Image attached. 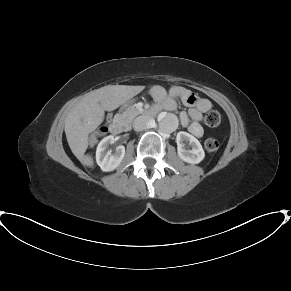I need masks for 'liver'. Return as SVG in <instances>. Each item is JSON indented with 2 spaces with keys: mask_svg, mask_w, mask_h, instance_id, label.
Segmentation results:
<instances>
[{
  "mask_svg": "<svg viewBox=\"0 0 291 291\" xmlns=\"http://www.w3.org/2000/svg\"><path fill=\"white\" fill-rule=\"evenodd\" d=\"M144 89L143 86L107 85L86 94L67 114L65 134L72 153L82 165L93 168L85 155L88 135L104 120L105 110H114Z\"/></svg>",
  "mask_w": 291,
  "mask_h": 291,
  "instance_id": "obj_1",
  "label": "liver"
}]
</instances>
